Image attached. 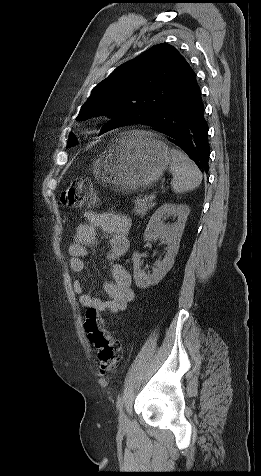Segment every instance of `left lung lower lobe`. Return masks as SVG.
<instances>
[{"mask_svg": "<svg viewBox=\"0 0 261 476\" xmlns=\"http://www.w3.org/2000/svg\"><path fill=\"white\" fill-rule=\"evenodd\" d=\"M143 125L151 126L166 136L172 144L194 160L197 166L208 172V125L196 76L160 115L145 121Z\"/></svg>", "mask_w": 261, "mask_h": 476, "instance_id": "1", "label": "left lung lower lobe"}]
</instances>
